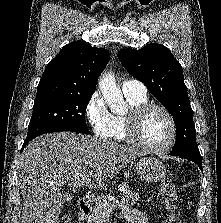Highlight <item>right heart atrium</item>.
<instances>
[{
    "label": "right heart atrium",
    "instance_id": "1",
    "mask_svg": "<svg viewBox=\"0 0 221 223\" xmlns=\"http://www.w3.org/2000/svg\"><path fill=\"white\" fill-rule=\"evenodd\" d=\"M85 118L95 137H110L112 133V115L99 92H94L87 101Z\"/></svg>",
    "mask_w": 221,
    "mask_h": 223
}]
</instances>
